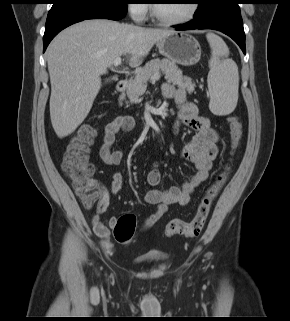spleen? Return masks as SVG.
<instances>
[{
  "label": "spleen",
  "mask_w": 290,
  "mask_h": 321,
  "mask_svg": "<svg viewBox=\"0 0 290 321\" xmlns=\"http://www.w3.org/2000/svg\"><path fill=\"white\" fill-rule=\"evenodd\" d=\"M206 37L211 47L209 108L215 115H228L234 111L238 101V67L228 58L229 49L222 38L213 33H208Z\"/></svg>",
  "instance_id": "1"
}]
</instances>
